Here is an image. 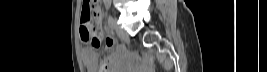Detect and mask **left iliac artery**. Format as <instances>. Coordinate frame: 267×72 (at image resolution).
<instances>
[{
    "label": "left iliac artery",
    "instance_id": "left-iliac-artery-1",
    "mask_svg": "<svg viewBox=\"0 0 267 72\" xmlns=\"http://www.w3.org/2000/svg\"><path fill=\"white\" fill-rule=\"evenodd\" d=\"M105 7H106L107 9L110 8V3H109L108 1L105 2ZM107 23H108V28H109V29H113V28H114L113 18H112L111 15L108 16Z\"/></svg>",
    "mask_w": 267,
    "mask_h": 72
}]
</instances>
